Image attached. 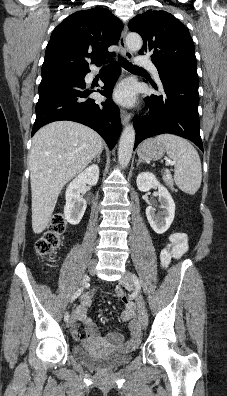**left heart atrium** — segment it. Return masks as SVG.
Returning <instances> with one entry per match:
<instances>
[{"instance_id": "39dd6f15", "label": "left heart atrium", "mask_w": 227, "mask_h": 396, "mask_svg": "<svg viewBox=\"0 0 227 396\" xmlns=\"http://www.w3.org/2000/svg\"><path fill=\"white\" fill-rule=\"evenodd\" d=\"M114 99L124 105H130L135 99V88L130 82H123L114 91Z\"/></svg>"}]
</instances>
